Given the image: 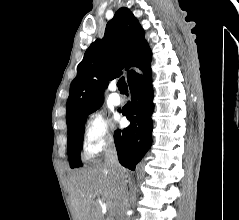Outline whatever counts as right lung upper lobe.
I'll use <instances>...</instances> for the list:
<instances>
[{"mask_svg": "<svg viewBox=\"0 0 239 220\" xmlns=\"http://www.w3.org/2000/svg\"><path fill=\"white\" fill-rule=\"evenodd\" d=\"M151 59L152 53L138 20L129 9L120 8L107 23L103 39L89 46L77 66V76L71 82L67 100V126L82 115L100 108L108 79L119 76L124 67L144 70ZM135 73L128 70V80Z\"/></svg>", "mask_w": 239, "mask_h": 220, "instance_id": "obj_1", "label": "right lung upper lobe"}]
</instances>
